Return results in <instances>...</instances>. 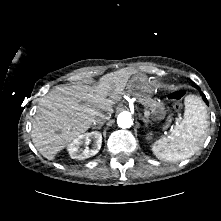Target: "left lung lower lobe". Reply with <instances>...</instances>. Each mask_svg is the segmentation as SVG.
Returning <instances> with one entry per match:
<instances>
[{
	"label": "left lung lower lobe",
	"mask_w": 221,
	"mask_h": 221,
	"mask_svg": "<svg viewBox=\"0 0 221 221\" xmlns=\"http://www.w3.org/2000/svg\"><path fill=\"white\" fill-rule=\"evenodd\" d=\"M197 89H199V87L197 86V85H194ZM202 94V98H203V100L205 101V103H207V105H208V101H207V99H206V96L203 94V93H201Z\"/></svg>",
	"instance_id": "left-lung-lower-lobe-1"
}]
</instances>
